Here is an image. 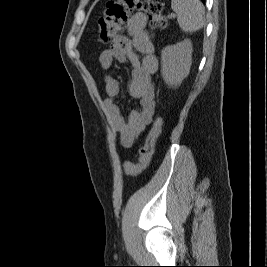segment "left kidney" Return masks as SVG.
Masks as SVG:
<instances>
[{
	"instance_id": "left-kidney-1",
	"label": "left kidney",
	"mask_w": 267,
	"mask_h": 267,
	"mask_svg": "<svg viewBox=\"0 0 267 267\" xmlns=\"http://www.w3.org/2000/svg\"><path fill=\"white\" fill-rule=\"evenodd\" d=\"M192 43L185 39L161 52V75L166 84L178 87L188 76L192 64Z\"/></svg>"
}]
</instances>
